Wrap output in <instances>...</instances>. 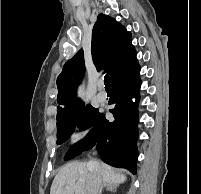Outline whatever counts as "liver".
<instances>
[{
	"label": "liver",
	"mask_w": 201,
	"mask_h": 194,
	"mask_svg": "<svg viewBox=\"0 0 201 194\" xmlns=\"http://www.w3.org/2000/svg\"><path fill=\"white\" fill-rule=\"evenodd\" d=\"M100 164V176L104 185H118L126 176L113 167ZM90 170L85 162H70L64 165L55 176L50 194H86Z\"/></svg>",
	"instance_id": "liver-1"
}]
</instances>
